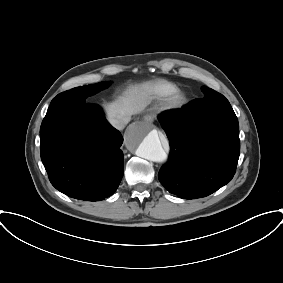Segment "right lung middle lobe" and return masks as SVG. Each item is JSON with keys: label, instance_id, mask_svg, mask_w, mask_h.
I'll use <instances>...</instances> for the list:
<instances>
[{"label": "right lung middle lobe", "instance_id": "obj_1", "mask_svg": "<svg viewBox=\"0 0 283 283\" xmlns=\"http://www.w3.org/2000/svg\"><path fill=\"white\" fill-rule=\"evenodd\" d=\"M110 82H100L97 84L85 85L82 87H76L71 90L58 94L51 102V104L60 99H85L88 96L94 95L97 92L106 89L110 86Z\"/></svg>", "mask_w": 283, "mask_h": 283}]
</instances>
